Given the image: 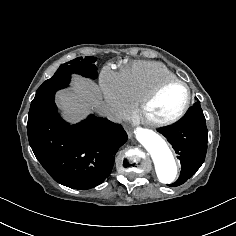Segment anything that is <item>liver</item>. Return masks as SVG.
I'll return each mask as SVG.
<instances>
[{
    "instance_id": "obj_1",
    "label": "liver",
    "mask_w": 236,
    "mask_h": 236,
    "mask_svg": "<svg viewBox=\"0 0 236 236\" xmlns=\"http://www.w3.org/2000/svg\"><path fill=\"white\" fill-rule=\"evenodd\" d=\"M73 91L61 90L57 92L58 106L63 110L65 120L75 123L84 118L89 109L102 105V94L98 85L91 79L81 76H73Z\"/></svg>"
}]
</instances>
